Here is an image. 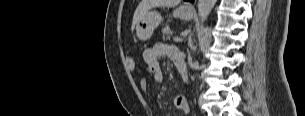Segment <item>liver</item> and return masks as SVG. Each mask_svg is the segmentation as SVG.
<instances>
[{
  "label": "liver",
  "instance_id": "1",
  "mask_svg": "<svg viewBox=\"0 0 305 116\" xmlns=\"http://www.w3.org/2000/svg\"><path fill=\"white\" fill-rule=\"evenodd\" d=\"M179 3L180 0H142L135 10L132 21V30H134L135 26H137L145 13L150 9L154 7H174Z\"/></svg>",
  "mask_w": 305,
  "mask_h": 116
}]
</instances>
